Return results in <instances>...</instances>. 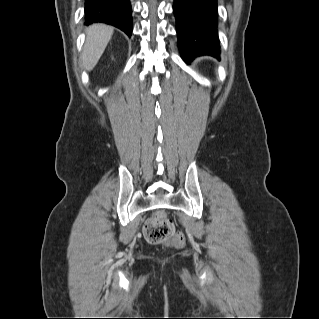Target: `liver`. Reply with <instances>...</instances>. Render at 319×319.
Here are the masks:
<instances>
[{
  "mask_svg": "<svg viewBox=\"0 0 319 319\" xmlns=\"http://www.w3.org/2000/svg\"><path fill=\"white\" fill-rule=\"evenodd\" d=\"M113 31V27L105 24H93L86 29L87 37L82 53V62L87 71H91L99 61Z\"/></svg>",
  "mask_w": 319,
  "mask_h": 319,
  "instance_id": "1",
  "label": "liver"
}]
</instances>
